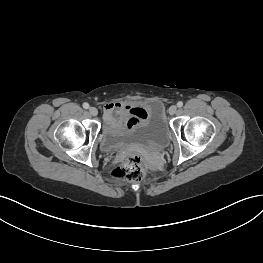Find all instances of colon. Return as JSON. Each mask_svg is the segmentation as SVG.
<instances>
[{
  "label": "colon",
  "instance_id": "colon-1",
  "mask_svg": "<svg viewBox=\"0 0 263 263\" xmlns=\"http://www.w3.org/2000/svg\"><path fill=\"white\" fill-rule=\"evenodd\" d=\"M144 158L139 152L130 154L113 170V176L127 181H139L143 177Z\"/></svg>",
  "mask_w": 263,
  "mask_h": 263
}]
</instances>
